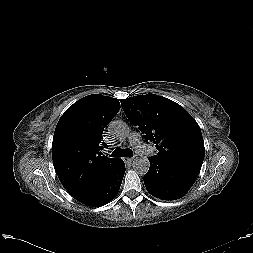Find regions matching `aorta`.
Returning a JSON list of instances; mask_svg holds the SVG:
<instances>
[{
  "label": "aorta",
  "instance_id": "1",
  "mask_svg": "<svg viewBox=\"0 0 253 253\" xmlns=\"http://www.w3.org/2000/svg\"><path fill=\"white\" fill-rule=\"evenodd\" d=\"M109 132L118 138H124L129 134V128L124 122L114 121L109 125ZM134 167L139 174H145L149 170L150 162L146 157L138 158Z\"/></svg>",
  "mask_w": 253,
  "mask_h": 253
}]
</instances>
